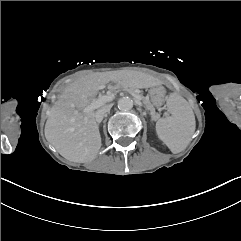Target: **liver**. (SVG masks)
<instances>
[{"label": "liver", "mask_w": 241, "mask_h": 241, "mask_svg": "<svg viewBox=\"0 0 241 241\" xmlns=\"http://www.w3.org/2000/svg\"><path fill=\"white\" fill-rule=\"evenodd\" d=\"M124 79L116 72L92 73L70 84L51 109L45 125V137L65 159L86 163L96 158L101 148V136L95 112L85 107L106 84L114 85ZM154 85V81L148 86Z\"/></svg>", "instance_id": "obj_1"}]
</instances>
